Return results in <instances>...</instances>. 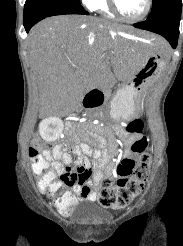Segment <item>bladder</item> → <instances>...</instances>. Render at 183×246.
Segmentation results:
<instances>
[{"label": "bladder", "instance_id": "31cf9c89", "mask_svg": "<svg viewBox=\"0 0 183 246\" xmlns=\"http://www.w3.org/2000/svg\"><path fill=\"white\" fill-rule=\"evenodd\" d=\"M108 212L98 207H92L80 214L79 219L82 223H102L108 218Z\"/></svg>", "mask_w": 183, "mask_h": 246}]
</instances>
